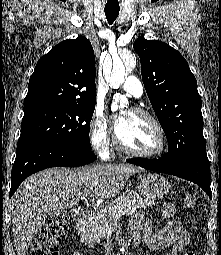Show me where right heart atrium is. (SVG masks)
<instances>
[{
  "instance_id": "1",
  "label": "right heart atrium",
  "mask_w": 221,
  "mask_h": 255,
  "mask_svg": "<svg viewBox=\"0 0 221 255\" xmlns=\"http://www.w3.org/2000/svg\"><path fill=\"white\" fill-rule=\"evenodd\" d=\"M89 137L93 149L99 154L107 153L111 127L104 112L96 109L89 123Z\"/></svg>"
}]
</instances>
